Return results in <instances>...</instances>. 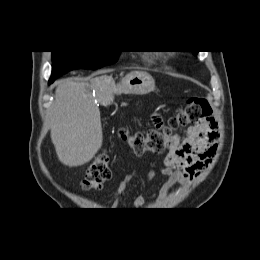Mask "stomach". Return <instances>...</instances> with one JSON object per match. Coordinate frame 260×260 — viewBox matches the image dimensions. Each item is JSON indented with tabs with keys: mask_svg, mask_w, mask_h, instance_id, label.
Segmentation results:
<instances>
[{
	"mask_svg": "<svg viewBox=\"0 0 260 260\" xmlns=\"http://www.w3.org/2000/svg\"><path fill=\"white\" fill-rule=\"evenodd\" d=\"M155 89L153 77L147 73H130L116 85V94L146 95Z\"/></svg>",
	"mask_w": 260,
	"mask_h": 260,
	"instance_id": "1",
	"label": "stomach"
}]
</instances>
